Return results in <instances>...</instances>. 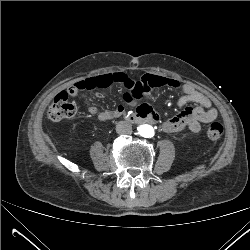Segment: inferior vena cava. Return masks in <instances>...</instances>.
Segmentation results:
<instances>
[{
	"mask_svg": "<svg viewBox=\"0 0 250 250\" xmlns=\"http://www.w3.org/2000/svg\"><path fill=\"white\" fill-rule=\"evenodd\" d=\"M116 132L118 134H130L132 132V125L127 121H120L116 125Z\"/></svg>",
	"mask_w": 250,
	"mask_h": 250,
	"instance_id": "602c4592",
	"label": "inferior vena cava"
}]
</instances>
